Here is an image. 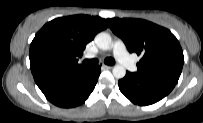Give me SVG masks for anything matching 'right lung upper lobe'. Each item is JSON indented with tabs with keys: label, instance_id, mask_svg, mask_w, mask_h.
Masks as SVG:
<instances>
[{
	"label": "right lung upper lobe",
	"instance_id": "right-lung-upper-lobe-1",
	"mask_svg": "<svg viewBox=\"0 0 203 123\" xmlns=\"http://www.w3.org/2000/svg\"><path fill=\"white\" fill-rule=\"evenodd\" d=\"M107 27L105 19L89 15L61 17L46 23L30 45L32 74L47 70L37 65L39 56L45 53L51 55L54 60L49 69L84 67L78 64L77 57H81L86 44Z\"/></svg>",
	"mask_w": 203,
	"mask_h": 123
}]
</instances>
